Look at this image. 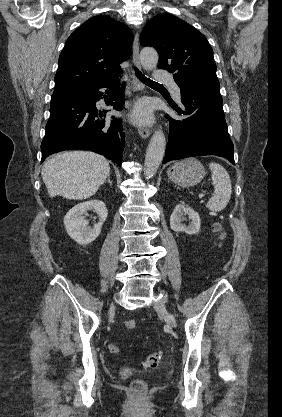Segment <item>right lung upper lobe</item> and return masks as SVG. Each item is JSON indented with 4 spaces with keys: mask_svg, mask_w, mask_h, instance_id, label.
Instances as JSON below:
<instances>
[{
    "mask_svg": "<svg viewBox=\"0 0 282 417\" xmlns=\"http://www.w3.org/2000/svg\"><path fill=\"white\" fill-rule=\"evenodd\" d=\"M133 38L125 24L110 16L87 20L70 35L59 56L54 94L118 78Z\"/></svg>",
    "mask_w": 282,
    "mask_h": 417,
    "instance_id": "cb5924a9",
    "label": "right lung upper lobe"
}]
</instances>
